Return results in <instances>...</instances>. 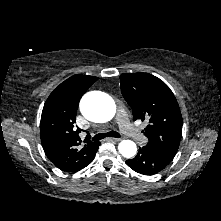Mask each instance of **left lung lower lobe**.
I'll use <instances>...</instances> for the list:
<instances>
[{
    "instance_id": "obj_1",
    "label": "left lung lower lobe",
    "mask_w": 221,
    "mask_h": 221,
    "mask_svg": "<svg viewBox=\"0 0 221 221\" xmlns=\"http://www.w3.org/2000/svg\"><path fill=\"white\" fill-rule=\"evenodd\" d=\"M172 159V156L157 149L144 146L139 148L136 157L127 160L126 164L140 174L153 175L163 170Z\"/></svg>"
}]
</instances>
